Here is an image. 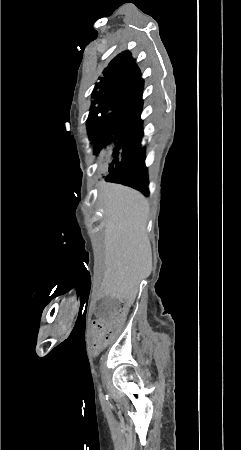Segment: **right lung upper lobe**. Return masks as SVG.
I'll return each mask as SVG.
<instances>
[{
    "label": "right lung upper lobe",
    "mask_w": 241,
    "mask_h": 450,
    "mask_svg": "<svg viewBox=\"0 0 241 450\" xmlns=\"http://www.w3.org/2000/svg\"><path fill=\"white\" fill-rule=\"evenodd\" d=\"M103 75L97 84L110 86L121 99L143 101L144 80L129 51L117 55L103 71Z\"/></svg>",
    "instance_id": "1"
}]
</instances>
